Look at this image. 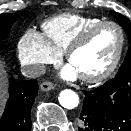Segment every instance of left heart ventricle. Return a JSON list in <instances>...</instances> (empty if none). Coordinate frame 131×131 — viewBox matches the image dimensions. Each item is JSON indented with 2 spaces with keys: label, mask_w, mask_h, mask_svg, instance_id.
Segmentation results:
<instances>
[{
  "label": "left heart ventricle",
  "mask_w": 131,
  "mask_h": 131,
  "mask_svg": "<svg viewBox=\"0 0 131 131\" xmlns=\"http://www.w3.org/2000/svg\"><path fill=\"white\" fill-rule=\"evenodd\" d=\"M120 43L113 26L98 29L88 42L71 57L70 65L78 75H94L106 69L114 59Z\"/></svg>",
  "instance_id": "1"
}]
</instances>
